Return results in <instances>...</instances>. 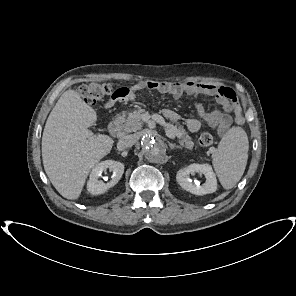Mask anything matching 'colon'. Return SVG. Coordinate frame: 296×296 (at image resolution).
Wrapping results in <instances>:
<instances>
[{
	"instance_id": "colon-1",
	"label": "colon",
	"mask_w": 296,
	"mask_h": 296,
	"mask_svg": "<svg viewBox=\"0 0 296 296\" xmlns=\"http://www.w3.org/2000/svg\"><path fill=\"white\" fill-rule=\"evenodd\" d=\"M127 88H115L110 83H88L79 87L80 97L88 104H95L107 96L119 97L125 95ZM213 135L209 132H202L198 142L201 146L207 147L213 143Z\"/></svg>"
}]
</instances>
